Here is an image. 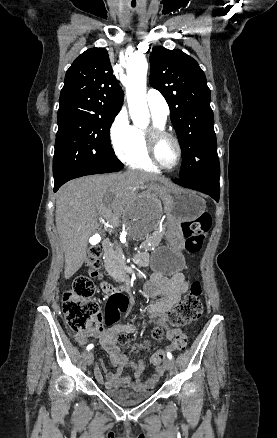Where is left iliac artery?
I'll return each instance as SVG.
<instances>
[{
  "mask_svg": "<svg viewBox=\"0 0 277 438\" xmlns=\"http://www.w3.org/2000/svg\"><path fill=\"white\" fill-rule=\"evenodd\" d=\"M167 357L171 360L172 359V354L170 352H167Z\"/></svg>",
  "mask_w": 277,
  "mask_h": 438,
  "instance_id": "44dca946",
  "label": "left iliac artery"
}]
</instances>
